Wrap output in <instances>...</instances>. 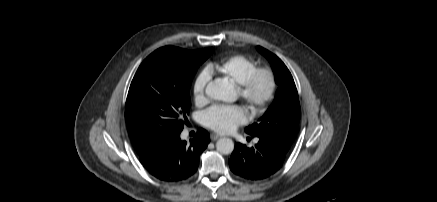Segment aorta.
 <instances>
[{
  "mask_svg": "<svg viewBox=\"0 0 437 202\" xmlns=\"http://www.w3.org/2000/svg\"><path fill=\"white\" fill-rule=\"evenodd\" d=\"M208 97L224 102H234L237 99L233 84L227 79H215L208 83L205 89ZM216 148L221 154H231L234 150V142L229 138H221L216 143Z\"/></svg>",
  "mask_w": 437,
  "mask_h": 202,
  "instance_id": "1",
  "label": "aorta"
}]
</instances>
